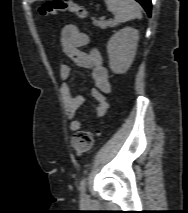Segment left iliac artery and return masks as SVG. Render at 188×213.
Instances as JSON below:
<instances>
[{
	"mask_svg": "<svg viewBox=\"0 0 188 213\" xmlns=\"http://www.w3.org/2000/svg\"><path fill=\"white\" fill-rule=\"evenodd\" d=\"M79 190H80L82 193H85V191H86V178H83V179L81 180Z\"/></svg>",
	"mask_w": 188,
	"mask_h": 213,
	"instance_id": "1",
	"label": "left iliac artery"
}]
</instances>
